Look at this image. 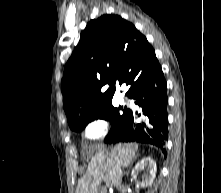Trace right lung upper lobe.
Here are the masks:
<instances>
[{"label": "right lung upper lobe", "mask_w": 221, "mask_h": 193, "mask_svg": "<svg viewBox=\"0 0 221 193\" xmlns=\"http://www.w3.org/2000/svg\"><path fill=\"white\" fill-rule=\"evenodd\" d=\"M155 51L135 26L118 15L91 20L65 65L61 88L69 126L78 117L111 104L115 84H133L157 62ZM110 87L105 90L103 87Z\"/></svg>", "instance_id": "obj_1"}]
</instances>
